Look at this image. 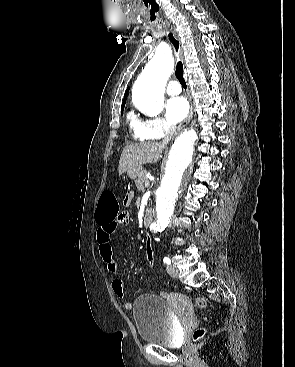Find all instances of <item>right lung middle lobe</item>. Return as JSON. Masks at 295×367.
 I'll return each mask as SVG.
<instances>
[{
	"label": "right lung middle lobe",
	"mask_w": 295,
	"mask_h": 367,
	"mask_svg": "<svg viewBox=\"0 0 295 367\" xmlns=\"http://www.w3.org/2000/svg\"><path fill=\"white\" fill-rule=\"evenodd\" d=\"M124 106H125V104H124V105H122V110H121V113L123 112Z\"/></svg>",
	"instance_id": "obj_1"
}]
</instances>
